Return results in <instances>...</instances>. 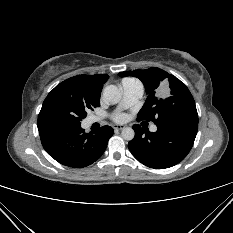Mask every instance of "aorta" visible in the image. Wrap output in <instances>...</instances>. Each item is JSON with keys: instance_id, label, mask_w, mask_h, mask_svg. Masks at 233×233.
<instances>
[{"instance_id": "762f6f07", "label": "aorta", "mask_w": 233, "mask_h": 233, "mask_svg": "<svg viewBox=\"0 0 233 233\" xmlns=\"http://www.w3.org/2000/svg\"><path fill=\"white\" fill-rule=\"evenodd\" d=\"M103 98L109 104H117L122 98L121 90L115 85H108L103 90ZM121 136L125 140H132L135 132L131 127L122 129Z\"/></svg>"}]
</instances>
